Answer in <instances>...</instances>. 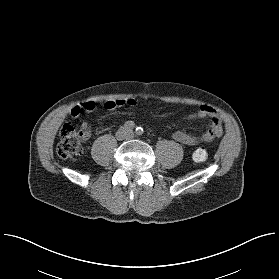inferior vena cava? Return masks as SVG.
I'll return each mask as SVG.
<instances>
[{"label": "inferior vena cava", "mask_w": 279, "mask_h": 279, "mask_svg": "<svg viewBox=\"0 0 279 279\" xmlns=\"http://www.w3.org/2000/svg\"><path fill=\"white\" fill-rule=\"evenodd\" d=\"M133 133L131 131H125L121 136H118L117 138L119 140H123V139H129L130 137H132Z\"/></svg>", "instance_id": "inferior-vena-cava-1"}]
</instances>
